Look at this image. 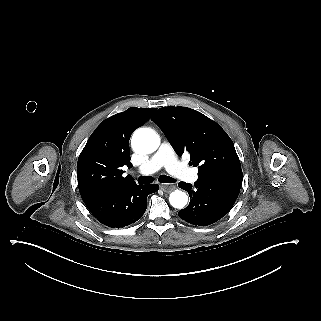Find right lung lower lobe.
Segmentation results:
<instances>
[{"label": "right lung lower lobe", "instance_id": "1", "mask_svg": "<svg viewBox=\"0 0 321 321\" xmlns=\"http://www.w3.org/2000/svg\"><path fill=\"white\" fill-rule=\"evenodd\" d=\"M158 189L157 184H134L83 201L99 222L112 228H120L136 222L143 216L147 208V196Z\"/></svg>", "mask_w": 321, "mask_h": 321}]
</instances>
